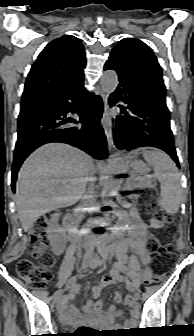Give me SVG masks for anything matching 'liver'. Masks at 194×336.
<instances>
[{
    "label": "liver",
    "mask_w": 194,
    "mask_h": 336,
    "mask_svg": "<svg viewBox=\"0 0 194 336\" xmlns=\"http://www.w3.org/2000/svg\"><path fill=\"white\" fill-rule=\"evenodd\" d=\"M92 158L82 150L50 143L35 150L22 165L15 204L24 232L43 214L75 204L86 193Z\"/></svg>",
    "instance_id": "obj_1"
}]
</instances>
